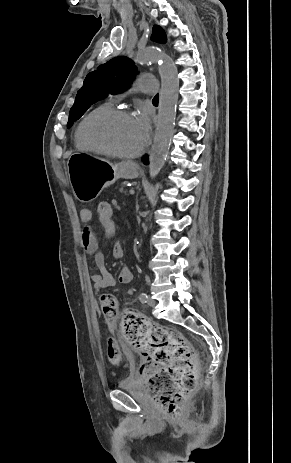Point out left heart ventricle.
I'll list each match as a JSON object with an SVG mask.
<instances>
[{
  "label": "left heart ventricle",
  "mask_w": 291,
  "mask_h": 463,
  "mask_svg": "<svg viewBox=\"0 0 291 463\" xmlns=\"http://www.w3.org/2000/svg\"><path fill=\"white\" fill-rule=\"evenodd\" d=\"M91 134L95 140L124 153L134 152L143 144L132 117L99 123L93 127Z\"/></svg>",
  "instance_id": "1"
}]
</instances>
